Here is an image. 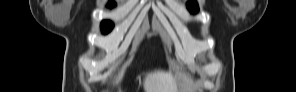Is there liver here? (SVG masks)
Segmentation results:
<instances>
[{"mask_svg":"<svg viewBox=\"0 0 296 92\" xmlns=\"http://www.w3.org/2000/svg\"><path fill=\"white\" fill-rule=\"evenodd\" d=\"M176 75L173 76L170 71L155 70L145 75L143 80V88L145 92H189L191 90V82L188 75L182 72L178 65L175 66ZM177 79H180L182 83L180 86L183 91H178Z\"/></svg>","mask_w":296,"mask_h":92,"instance_id":"liver-1","label":"liver"}]
</instances>
